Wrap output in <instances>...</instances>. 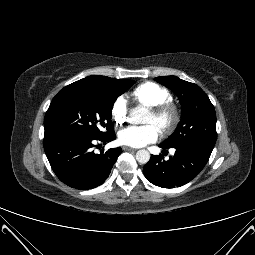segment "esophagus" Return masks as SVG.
<instances>
[{
  "label": "esophagus",
  "mask_w": 255,
  "mask_h": 255,
  "mask_svg": "<svg viewBox=\"0 0 255 255\" xmlns=\"http://www.w3.org/2000/svg\"><path fill=\"white\" fill-rule=\"evenodd\" d=\"M122 149H123L124 151H136V149L131 148V147H128V146H123Z\"/></svg>",
  "instance_id": "esophagus-1"
}]
</instances>
